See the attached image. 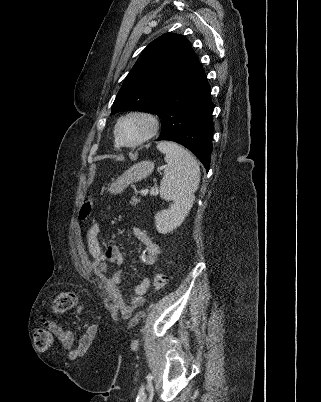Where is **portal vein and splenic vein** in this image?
Wrapping results in <instances>:
<instances>
[{
	"mask_svg": "<svg viewBox=\"0 0 321 402\" xmlns=\"http://www.w3.org/2000/svg\"><path fill=\"white\" fill-rule=\"evenodd\" d=\"M148 192H149L148 189H142V190L140 191V194L143 195V196H146V195L148 194Z\"/></svg>",
	"mask_w": 321,
	"mask_h": 402,
	"instance_id": "portal-vein-and-splenic-vein-1",
	"label": "portal vein and splenic vein"
}]
</instances>
